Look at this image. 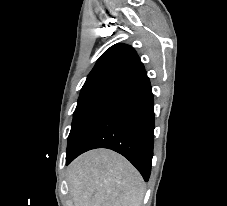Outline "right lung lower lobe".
<instances>
[{"label":"right lung lower lobe","mask_w":227,"mask_h":206,"mask_svg":"<svg viewBox=\"0 0 227 206\" xmlns=\"http://www.w3.org/2000/svg\"><path fill=\"white\" fill-rule=\"evenodd\" d=\"M154 100L147 75L129 83L128 89L96 118L66 165L95 148L112 149L126 157L149 180L154 144Z\"/></svg>","instance_id":"98d812e1"}]
</instances>
